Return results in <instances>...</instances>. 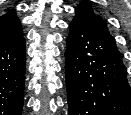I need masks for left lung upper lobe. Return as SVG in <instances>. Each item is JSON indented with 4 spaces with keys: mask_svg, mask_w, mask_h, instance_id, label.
Instances as JSON below:
<instances>
[{
    "mask_svg": "<svg viewBox=\"0 0 131 115\" xmlns=\"http://www.w3.org/2000/svg\"><path fill=\"white\" fill-rule=\"evenodd\" d=\"M75 17H79L88 26L92 27L94 30L102 34L105 38L115 44L114 38L110 35L107 29V25L104 20L96 15L89 3L82 1L78 4L76 9ZM116 45V44H115Z\"/></svg>",
    "mask_w": 131,
    "mask_h": 115,
    "instance_id": "left-lung-upper-lobe-1",
    "label": "left lung upper lobe"
}]
</instances>
